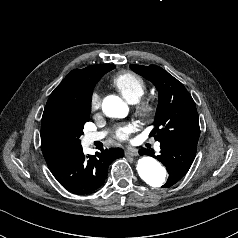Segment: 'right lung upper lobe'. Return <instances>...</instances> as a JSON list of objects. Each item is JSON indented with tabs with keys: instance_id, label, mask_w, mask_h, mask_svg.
Masks as SVG:
<instances>
[{
	"instance_id": "1",
	"label": "right lung upper lobe",
	"mask_w": 238,
	"mask_h": 238,
	"mask_svg": "<svg viewBox=\"0 0 238 238\" xmlns=\"http://www.w3.org/2000/svg\"><path fill=\"white\" fill-rule=\"evenodd\" d=\"M107 65L72 70L51 93L41 121V149L49 169L64 162L81 147L79 140L61 131L57 121L71 111L90 114L92 92H81L80 84L92 80L99 69Z\"/></svg>"
}]
</instances>
